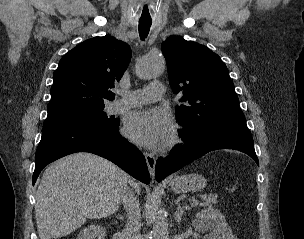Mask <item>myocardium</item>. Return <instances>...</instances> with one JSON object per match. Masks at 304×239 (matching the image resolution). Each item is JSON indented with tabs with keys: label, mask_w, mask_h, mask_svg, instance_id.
<instances>
[{
	"label": "myocardium",
	"mask_w": 304,
	"mask_h": 239,
	"mask_svg": "<svg viewBox=\"0 0 304 239\" xmlns=\"http://www.w3.org/2000/svg\"><path fill=\"white\" fill-rule=\"evenodd\" d=\"M181 141H182L181 134L178 131H176L170 140V146H175L179 144Z\"/></svg>",
	"instance_id": "f54148a6"
}]
</instances>
